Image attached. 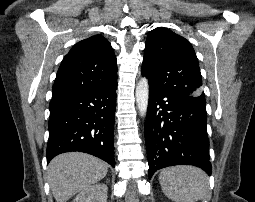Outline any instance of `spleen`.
<instances>
[{"label": "spleen", "mask_w": 255, "mask_h": 202, "mask_svg": "<svg viewBox=\"0 0 255 202\" xmlns=\"http://www.w3.org/2000/svg\"><path fill=\"white\" fill-rule=\"evenodd\" d=\"M163 193L175 202H196L209 193L208 177L204 171L191 166L163 169L159 175Z\"/></svg>", "instance_id": "spleen-1"}]
</instances>
